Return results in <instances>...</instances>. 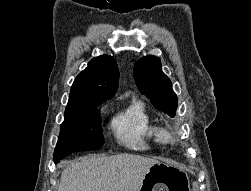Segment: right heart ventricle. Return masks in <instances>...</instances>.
Masks as SVG:
<instances>
[{"mask_svg":"<svg viewBox=\"0 0 251 191\" xmlns=\"http://www.w3.org/2000/svg\"><path fill=\"white\" fill-rule=\"evenodd\" d=\"M155 119L146 103L132 98L127 107L112 121L113 136L127 150L151 154L158 151L154 138Z\"/></svg>","mask_w":251,"mask_h":191,"instance_id":"1","label":"right heart ventricle"}]
</instances>
